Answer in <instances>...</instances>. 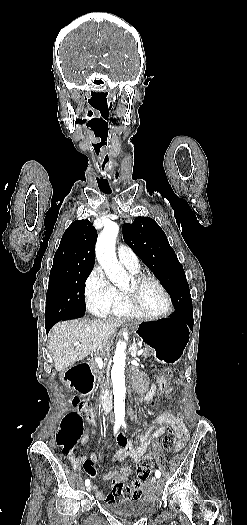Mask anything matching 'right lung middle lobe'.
<instances>
[{
    "label": "right lung middle lobe",
    "mask_w": 247,
    "mask_h": 525,
    "mask_svg": "<svg viewBox=\"0 0 247 525\" xmlns=\"http://www.w3.org/2000/svg\"><path fill=\"white\" fill-rule=\"evenodd\" d=\"M91 270L51 271L46 295L45 326L81 317L86 310L85 282Z\"/></svg>",
    "instance_id": "right-lung-middle-lobe-1"
}]
</instances>
